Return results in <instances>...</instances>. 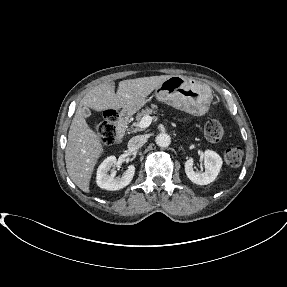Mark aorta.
<instances>
[{
    "mask_svg": "<svg viewBox=\"0 0 287 287\" xmlns=\"http://www.w3.org/2000/svg\"><path fill=\"white\" fill-rule=\"evenodd\" d=\"M155 141L159 147L166 148L171 144V137L167 133H160Z\"/></svg>",
    "mask_w": 287,
    "mask_h": 287,
    "instance_id": "1",
    "label": "aorta"
}]
</instances>
